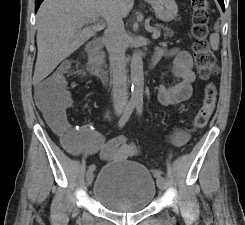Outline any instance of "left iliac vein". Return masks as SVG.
<instances>
[{"label": "left iliac vein", "instance_id": "4c4485c4", "mask_svg": "<svg viewBox=\"0 0 245 225\" xmlns=\"http://www.w3.org/2000/svg\"><path fill=\"white\" fill-rule=\"evenodd\" d=\"M157 186L161 190H164V188H165V179H164V177L161 176L159 179H157Z\"/></svg>", "mask_w": 245, "mask_h": 225}]
</instances>
